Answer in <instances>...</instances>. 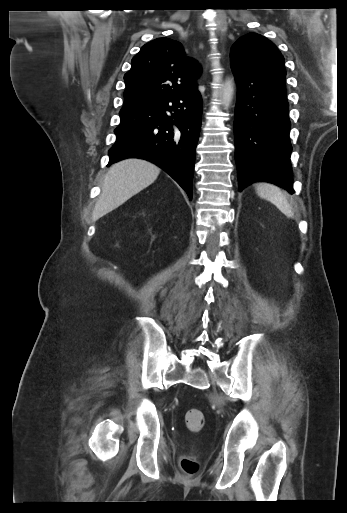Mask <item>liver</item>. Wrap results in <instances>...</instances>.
Returning a JSON list of instances; mask_svg holds the SVG:
<instances>
[{
    "label": "liver",
    "mask_w": 347,
    "mask_h": 513,
    "mask_svg": "<svg viewBox=\"0 0 347 513\" xmlns=\"http://www.w3.org/2000/svg\"><path fill=\"white\" fill-rule=\"evenodd\" d=\"M159 173L156 165L138 158L125 159L112 165L104 177L93 219L98 220L147 188Z\"/></svg>",
    "instance_id": "obj_1"
}]
</instances>
